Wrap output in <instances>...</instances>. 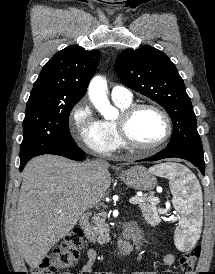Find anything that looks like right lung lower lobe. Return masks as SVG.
<instances>
[{
	"label": "right lung lower lobe",
	"mask_w": 215,
	"mask_h": 274,
	"mask_svg": "<svg viewBox=\"0 0 215 274\" xmlns=\"http://www.w3.org/2000/svg\"><path fill=\"white\" fill-rule=\"evenodd\" d=\"M47 154H54V155H60L64 156L66 158L76 160V161H81L84 159V152L78 147V146H73L70 148H63V149H58L51 151ZM29 159H20V171L23 170L25 164L30 160Z\"/></svg>",
	"instance_id": "98d812e1"
}]
</instances>
